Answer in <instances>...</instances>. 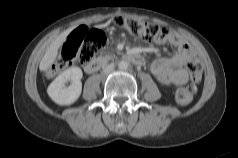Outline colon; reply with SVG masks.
I'll use <instances>...</instances> for the list:
<instances>
[{"label": "colon", "mask_w": 238, "mask_h": 158, "mask_svg": "<svg viewBox=\"0 0 238 158\" xmlns=\"http://www.w3.org/2000/svg\"><path fill=\"white\" fill-rule=\"evenodd\" d=\"M114 22L131 36L147 42L155 41L166 34V30L154 23L123 17L115 18ZM104 43L105 36L99 30H90L82 26L74 29L62 44L55 62L47 69V77L55 76L74 62L89 63ZM186 68L191 75L192 82L179 88L175 93V100L181 106H186L192 101L197 92L196 83L202 76V65L198 59H190Z\"/></svg>", "instance_id": "colon-1"}]
</instances>
